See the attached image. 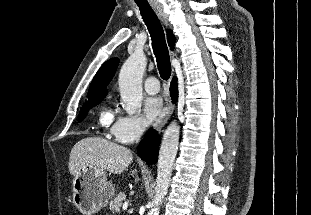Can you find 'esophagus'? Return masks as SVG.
Returning <instances> with one entry per match:
<instances>
[{"instance_id": "obj_1", "label": "esophagus", "mask_w": 311, "mask_h": 215, "mask_svg": "<svg viewBox=\"0 0 311 215\" xmlns=\"http://www.w3.org/2000/svg\"><path fill=\"white\" fill-rule=\"evenodd\" d=\"M154 10L159 16V18L163 21V23L165 25H168V15L164 11L163 7L161 5H157L154 7ZM173 109H174V104L171 103V101H169L166 107L164 108L162 114L160 115V117L157 119L155 123V128L157 131H160L161 128L164 126V124L166 123L170 115L172 114Z\"/></svg>"}]
</instances>
